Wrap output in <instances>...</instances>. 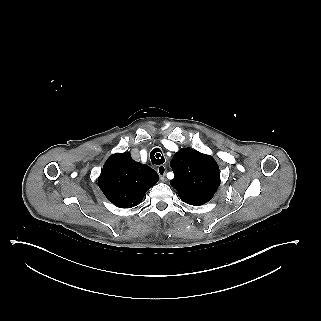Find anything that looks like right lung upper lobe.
<instances>
[{
    "label": "right lung upper lobe",
    "mask_w": 321,
    "mask_h": 321,
    "mask_svg": "<svg viewBox=\"0 0 321 321\" xmlns=\"http://www.w3.org/2000/svg\"><path fill=\"white\" fill-rule=\"evenodd\" d=\"M158 180L152 168L135 162L129 153H116L105 162L98 184L114 205L131 208L141 203L146 191Z\"/></svg>",
    "instance_id": "1"
}]
</instances>
